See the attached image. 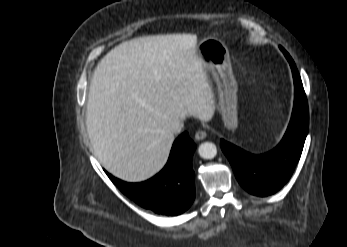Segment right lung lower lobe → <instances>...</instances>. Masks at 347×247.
<instances>
[{
    "instance_id": "right-lung-lower-lobe-1",
    "label": "right lung lower lobe",
    "mask_w": 347,
    "mask_h": 247,
    "mask_svg": "<svg viewBox=\"0 0 347 247\" xmlns=\"http://www.w3.org/2000/svg\"><path fill=\"white\" fill-rule=\"evenodd\" d=\"M196 145L187 132L174 142L165 167L153 178L127 183L107 173L120 191L143 208L157 214L174 216L186 211L195 198L192 156Z\"/></svg>"
}]
</instances>
